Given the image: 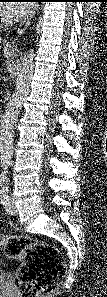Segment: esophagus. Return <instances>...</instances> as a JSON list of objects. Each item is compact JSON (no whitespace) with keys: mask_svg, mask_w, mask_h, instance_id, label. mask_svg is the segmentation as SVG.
<instances>
[{"mask_svg":"<svg viewBox=\"0 0 107 297\" xmlns=\"http://www.w3.org/2000/svg\"><path fill=\"white\" fill-rule=\"evenodd\" d=\"M37 9H38V5L32 4L27 17L19 25V28L17 30V34H16V37L14 38V41L17 40L21 35L24 34L25 30L30 25L31 19L35 15V12Z\"/></svg>","mask_w":107,"mask_h":297,"instance_id":"1","label":"esophagus"}]
</instances>
